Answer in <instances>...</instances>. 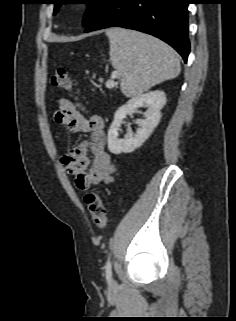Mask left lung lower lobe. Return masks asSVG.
<instances>
[{
  "label": "left lung lower lobe",
  "instance_id": "0a47b994",
  "mask_svg": "<svg viewBox=\"0 0 236 321\" xmlns=\"http://www.w3.org/2000/svg\"><path fill=\"white\" fill-rule=\"evenodd\" d=\"M191 0H111L85 33L123 27L153 35L171 45L187 61L188 11Z\"/></svg>",
  "mask_w": 236,
  "mask_h": 321
}]
</instances>
